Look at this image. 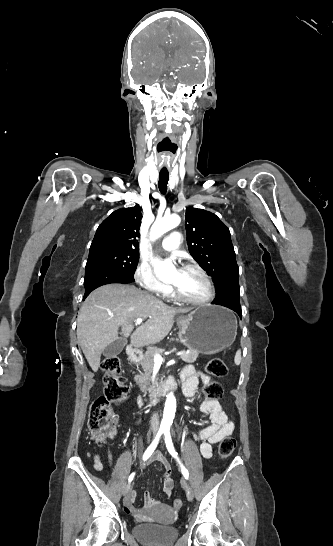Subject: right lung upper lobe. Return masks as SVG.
<instances>
[{
    "mask_svg": "<svg viewBox=\"0 0 333 546\" xmlns=\"http://www.w3.org/2000/svg\"><path fill=\"white\" fill-rule=\"evenodd\" d=\"M142 207L122 208L114 211L96 230L90 251L101 248H119L139 251Z\"/></svg>",
    "mask_w": 333,
    "mask_h": 546,
    "instance_id": "1",
    "label": "right lung upper lobe"
}]
</instances>
